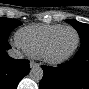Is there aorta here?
Segmentation results:
<instances>
[{
    "mask_svg": "<svg viewBox=\"0 0 89 89\" xmlns=\"http://www.w3.org/2000/svg\"><path fill=\"white\" fill-rule=\"evenodd\" d=\"M44 72L40 66H33L29 72V76L34 81H40L43 78Z\"/></svg>",
    "mask_w": 89,
    "mask_h": 89,
    "instance_id": "1",
    "label": "aorta"
}]
</instances>
